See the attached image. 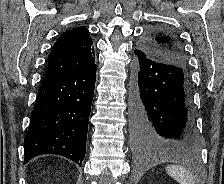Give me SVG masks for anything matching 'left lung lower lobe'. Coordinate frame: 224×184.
Here are the masks:
<instances>
[{
    "label": "left lung lower lobe",
    "instance_id": "1",
    "mask_svg": "<svg viewBox=\"0 0 224 184\" xmlns=\"http://www.w3.org/2000/svg\"><path fill=\"white\" fill-rule=\"evenodd\" d=\"M133 142L143 154H195L191 92L185 69L147 57L135 49Z\"/></svg>",
    "mask_w": 224,
    "mask_h": 184
}]
</instances>
